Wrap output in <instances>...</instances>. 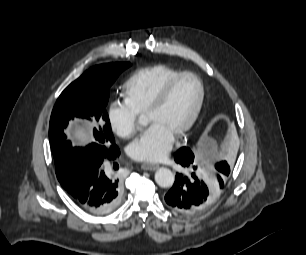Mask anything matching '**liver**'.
Wrapping results in <instances>:
<instances>
[{
	"label": "liver",
	"instance_id": "1",
	"mask_svg": "<svg viewBox=\"0 0 306 255\" xmlns=\"http://www.w3.org/2000/svg\"><path fill=\"white\" fill-rule=\"evenodd\" d=\"M73 134L75 140L80 144L89 142L92 138L91 131L89 127L86 126H76Z\"/></svg>",
	"mask_w": 306,
	"mask_h": 255
}]
</instances>
